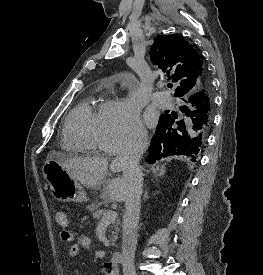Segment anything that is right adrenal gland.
Returning a JSON list of instances; mask_svg holds the SVG:
<instances>
[{
  "mask_svg": "<svg viewBox=\"0 0 263 275\" xmlns=\"http://www.w3.org/2000/svg\"><path fill=\"white\" fill-rule=\"evenodd\" d=\"M144 198H145V199H147V198H148L147 192H145V194H144Z\"/></svg>",
  "mask_w": 263,
  "mask_h": 275,
  "instance_id": "right-adrenal-gland-1",
  "label": "right adrenal gland"
}]
</instances>
